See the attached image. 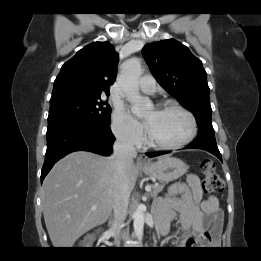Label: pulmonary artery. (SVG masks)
<instances>
[{
    "label": "pulmonary artery",
    "mask_w": 261,
    "mask_h": 261,
    "mask_svg": "<svg viewBox=\"0 0 261 261\" xmlns=\"http://www.w3.org/2000/svg\"><path fill=\"white\" fill-rule=\"evenodd\" d=\"M139 89L146 94H152L156 90V81L151 75H144L139 79Z\"/></svg>",
    "instance_id": "e3ab8cb5"
}]
</instances>
